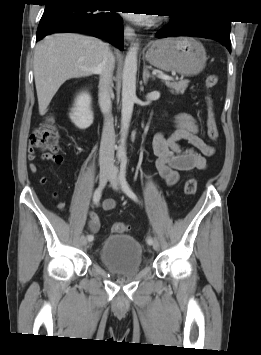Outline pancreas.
Returning <instances> with one entry per match:
<instances>
[{
  "label": "pancreas",
  "instance_id": "cf45deb5",
  "mask_svg": "<svg viewBox=\"0 0 261 355\" xmlns=\"http://www.w3.org/2000/svg\"><path fill=\"white\" fill-rule=\"evenodd\" d=\"M167 87L171 88V92L175 94H184L188 87L189 80H182L180 82L165 81Z\"/></svg>",
  "mask_w": 261,
  "mask_h": 355
}]
</instances>
